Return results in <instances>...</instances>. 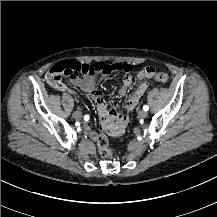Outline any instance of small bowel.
Returning <instances> with one entry per match:
<instances>
[{
	"instance_id": "obj_1",
	"label": "small bowel",
	"mask_w": 217,
	"mask_h": 217,
	"mask_svg": "<svg viewBox=\"0 0 217 217\" xmlns=\"http://www.w3.org/2000/svg\"><path fill=\"white\" fill-rule=\"evenodd\" d=\"M143 70L144 68H142L137 73L136 78L140 80L149 78V76H146L144 74ZM134 78L135 77L130 72H125L119 87L120 96H125L127 94L129 87L131 86ZM101 79L102 77L97 75L96 73L93 75H85L84 77H74L72 78V83L75 86H77L82 92L89 95L92 102L97 107L98 112L99 109L102 108L100 111L101 131L108 135H115L122 131L123 123H124V128L127 125L129 120L128 113L132 112L134 108L137 106L139 100L145 93L147 86L143 84L131 92L124 106L126 114L120 116L115 109L117 105L114 102H112L113 107L106 105L105 96L101 93L99 88ZM59 89L67 94H71V95L74 94V90L64 85L63 83L61 84ZM86 131L91 138L98 140L99 137L97 138V133L94 130L87 127Z\"/></svg>"
}]
</instances>
